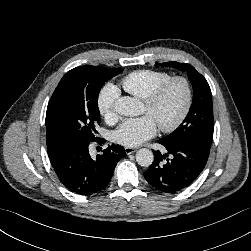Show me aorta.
Returning a JSON list of instances; mask_svg holds the SVG:
<instances>
[{
    "mask_svg": "<svg viewBox=\"0 0 251 251\" xmlns=\"http://www.w3.org/2000/svg\"><path fill=\"white\" fill-rule=\"evenodd\" d=\"M115 111L124 116H136L140 112L138 100L124 96L120 97L114 105ZM154 160L153 152L147 148L139 149L136 153V161L142 167H149Z\"/></svg>",
    "mask_w": 251,
    "mask_h": 251,
    "instance_id": "1",
    "label": "aorta"
}]
</instances>
